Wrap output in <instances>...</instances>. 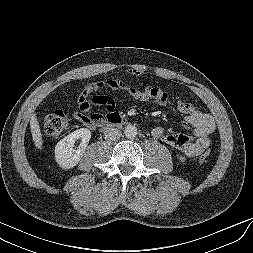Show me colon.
Returning a JSON list of instances; mask_svg holds the SVG:
<instances>
[{
    "instance_id": "1",
    "label": "colon",
    "mask_w": 253,
    "mask_h": 253,
    "mask_svg": "<svg viewBox=\"0 0 253 253\" xmlns=\"http://www.w3.org/2000/svg\"><path fill=\"white\" fill-rule=\"evenodd\" d=\"M70 126L69 117L63 112H53L46 116L43 124L44 133L47 136H59ZM212 155L211 150L205 151L199 158L200 162H206Z\"/></svg>"
}]
</instances>
